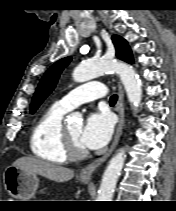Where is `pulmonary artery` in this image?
Instances as JSON below:
<instances>
[{"label":"pulmonary artery","instance_id":"obj_1","mask_svg":"<svg viewBox=\"0 0 176 211\" xmlns=\"http://www.w3.org/2000/svg\"><path fill=\"white\" fill-rule=\"evenodd\" d=\"M105 95L106 88L104 84L99 81H92L73 89L57 103L65 110L70 111L83 103L94 101Z\"/></svg>","mask_w":176,"mask_h":211}]
</instances>
